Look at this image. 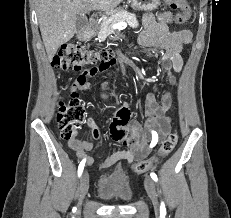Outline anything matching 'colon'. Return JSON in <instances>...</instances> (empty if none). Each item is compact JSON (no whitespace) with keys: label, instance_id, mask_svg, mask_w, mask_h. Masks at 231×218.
I'll return each mask as SVG.
<instances>
[{"label":"colon","instance_id":"1","mask_svg":"<svg viewBox=\"0 0 231 218\" xmlns=\"http://www.w3.org/2000/svg\"><path fill=\"white\" fill-rule=\"evenodd\" d=\"M165 2L170 8L181 10L175 18L178 24H184L188 20L190 7L185 0H165ZM103 60L114 61L112 50H93L76 44H64L54 56L52 64L57 69L78 71L88 69L89 66H100ZM56 122L63 139L71 142L78 138L81 127L87 122V113L77 91H72L67 100L59 102ZM176 143L177 134L170 133L162 142L156 156L136 162L134 171L144 173L153 168L159 159L172 152Z\"/></svg>","mask_w":231,"mask_h":218}]
</instances>
